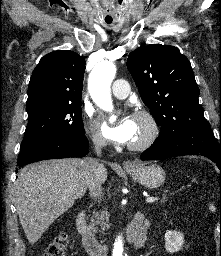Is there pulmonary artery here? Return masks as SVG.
Here are the masks:
<instances>
[{
    "label": "pulmonary artery",
    "mask_w": 221,
    "mask_h": 256,
    "mask_svg": "<svg viewBox=\"0 0 221 256\" xmlns=\"http://www.w3.org/2000/svg\"><path fill=\"white\" fill-rule=\"evenodd\" d=\"M112 93L117 98H126L129 94L128 82L123 79L116 80L112 85Z\"/></svg>",
    "instance_id": "1"
}]
</instances>
